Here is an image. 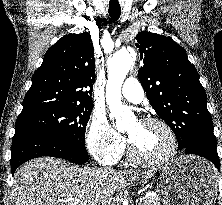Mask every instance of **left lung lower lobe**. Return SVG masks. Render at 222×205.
<instances>
[{"label":"left lung lower lobe","mask_w":222,"mask_h":205,"mask_svg":"<svg viewBox=\"0 0 222 205\" xmlns=\"http://www.w3.org/2000/svg\"><path fill=\"white\" fill-rule=\"evenodd\" d=\"M185 154H193L206 158L211 161L215 167L220 170V160L215 148H211L202 144H194L181 150Z\"/></svg>","instance_id":"0a47b994"}]
</instances>
